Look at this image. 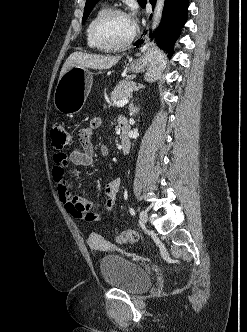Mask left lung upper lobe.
Instances as JSON below:
<instances>
[{
  "instance_id": "left-lung-upper-lobe-1",
  "label": "left lung upper lobe",
  "mask_w": 247,
  "mask_h": 332,
  "mask_svg": "<svg viewBox=\"0 0 247 332\" xmlns=\"http://www.w3.org/2000/svg\"><path fill=\"white\" fill-rule=\"evenodd\" d=\"M99 0H86L85 8H84V15L82 19V24L85 23L87 17L89 16L93 7L98 3ZM138 3L141 7L145 6L146 0H138Z\"/></svg>"
}]
</instances>
